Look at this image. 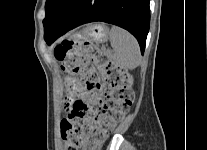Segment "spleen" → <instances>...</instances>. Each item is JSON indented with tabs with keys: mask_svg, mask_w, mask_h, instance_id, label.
I'll use <instances>...</instances> for the list:
<instances>
[{
	"mask_svg": "<svg viewBox=\"0 0 207 150\" xmlns=\"http://www.w3.org/2000/svg\"><path fill=\"white\" fill-rule=\"evenodd\" d=\"M110 43L114 51L112 59L115 66L128 70L139 65L140 48L129 32L113 26L110 30Z\"/></svg>",
	"mask_w": 207,
	"mask_h": 150,
	"instance_id": "3e777b00",
	"label": "spleen"
}]
</instances>
